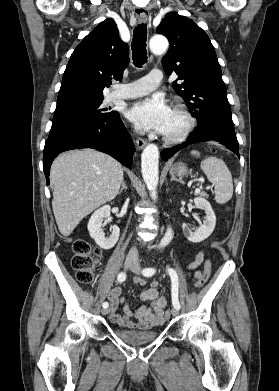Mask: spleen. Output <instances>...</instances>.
Segmentation results:
<instances>
[{
	"instance_id": "spleen-1",
	"label": "spleen",
	"mask_w": 279,
	"mask_h": 391,
	"mask_svg": "<svg viewBox=\"0 0 279 391\" xmlns=\"http://www.w3.org/2000/svg\"><path fill=\"white\" fill-rule=\"evenodd\" d=\"M191 154L199 156L200 153L192 150ZM208 180L215 187V200L219 204L228 202L233 195L232 175L225 162L217 157H207L200 165Z\"/></svg>"
}]
</instances>
